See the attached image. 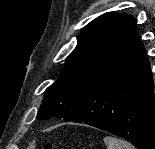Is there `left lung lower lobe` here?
I'll use <instances>...</instances> for the list:
<instances>
[{
    "label": "left lung lower lobe",
    "mask_w": 155,
    "mask_h": 149,
    "mask_svg": "<svg viewBox=\"0 0 155 149\" xmlns=\"http://www.w3.org/2000/svg\"><path fill=\"white\" fill-rule=\"evenodd\" d=\"M64 120L108 131L138 149H155L153 78L135 29L112 65Z\"/></svg>",
    "instance_id": "0a47b994"
}]
</instances>
